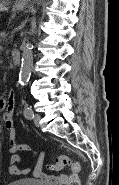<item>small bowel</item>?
<instances>
[{"mask_svg":"<svg viewBox=\"0 0 119 185\" xmlns=\"http://www.w3.org/2000/svg\"><path fill=\"white\" fill-rule=\"evenodd\" d=\"M14 107L15 94L13 91H11L7 98H2L0 100V109L3 111V120L9 131L8 172L11 175H22L30 172V166L19 168L15 165V163L23 162L29 155L31 156V160H33L36 156V151H34L28 144H20L16 141V130L13 125ZM17 151H22V154H16ZM43 160L44 154L41 153L33 171L34 176L42 178L49 185L66 184V181L69 177L68 175L61 174L58 176H50L43 172Z\"/></svg>","mask_w":119,"mask_h":185,"instance_id":"c3829d8e","label":"small bowel"}]
</instances>
